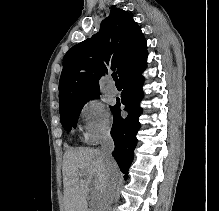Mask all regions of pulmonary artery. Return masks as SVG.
Segmentation results:
<instances>
[{
    "instance_id": "1",
    "label": "pulmonary artery",
    "mask_w": 219,
    "mask_h": 211,
    "mask_svg": "<svg viewBox=\"0 0 219 211\" xmlns=\"http://www.w3.org/2000/svg\"><path fill=\"white\" fill-rule=\"evenodd\" d=\"M107 91L110 95L116 96L118 94V89L115 86L113 80L111 77L108 78V87H107Z\"/></svg>"
}]
</instances>
